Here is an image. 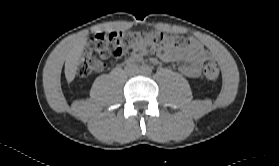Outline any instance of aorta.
<instances>
[{
	"label": "aorta",
	"instance_id": "1",
	"mask_svg": "<svg viewBox=\"0 0 279 166\" xmlns=\"http://www.w3.org/2000/svg\"><path fill=\"white\" fill-rule=\"evenodd\" d=\"M150 72H151L150 67L145 66V67L142 68V73H143V74L148 75V74H150Z\"/></svg>",
	"mask_w": 279,
	"mask_h": 166
}]
</instances>
